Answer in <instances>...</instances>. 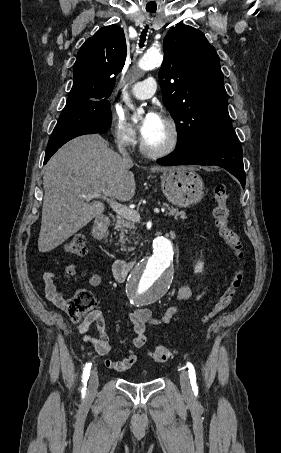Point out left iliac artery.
Wrapping results in <instances>:
<instances>
[{"mask_svg":"<svg viewBox=\"0 0 281 453\" xmlns=\"http://www.w3.org/2000/svg\"><path fill=\"white\" fill-rule=\"evenodd\" d=\"M187 367H188V372H189V378H190V383H191V386H192V390L193 391H198V387H197V384H196V374H195V369H194V366L188 362L187 363Z\"/></svg>","mask_w":281,"mask_h":453,"instance_id":"44dca946","label":"left iliac artery"}]
</instances>
